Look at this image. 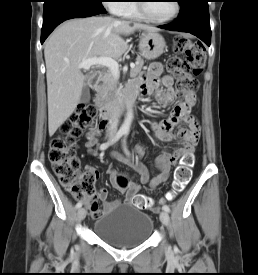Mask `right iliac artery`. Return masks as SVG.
<instances>
[{
  "instance_id": "obj_1",
  "label": "right iliac artery",
  "mask_w": 258,
  "mask_h": 275,
  "mask_svg": "<svg viewBox=\"0 0 258 275\" xmlns=\"http://www.w3.org/2000/svg\"><path fill=\"white\" fill-rule=\"evenodd\" d=\"M124 135L123 131H118L117 134L115 135V137L112 139L111 142H107V143H103L100 146V150H105L106 148H108L112 143L118 141L122 136ZM82 207V202H78L76 204V208H81Z\"/></svg>"
}]
</instances>
